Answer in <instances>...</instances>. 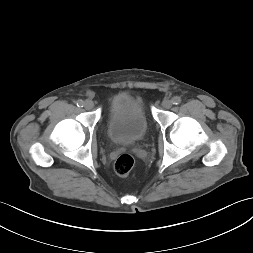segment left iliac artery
Segmentation results:
<instances>
[{
  "instance_id": "1",
  "label": "left iliac artery",
  "mask_w": 253,
  "mask_h": 253,
  "mask_svg": "<svg viewBox=\"0 0 253 253\" xmlns=\"http://www.w3.org/2000/svg\"><path fill=\"white\" fill-rule=\"evenodd\" d=\"M172 103L175 104V105H178L181 103V98L178 97V96H175L172 98Z\"/></svg>"
}]
</instances>
